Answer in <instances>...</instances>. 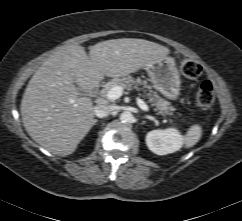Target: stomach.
Instances as JSON below:
<instances>
[{"instance_id": "0dacf381", "label": "stomach", "mask_w": 242, "mask_h": 221, "mask_svg": "<svg viewBox=\"0 0 242 221\" xmlns=\"http://www.w3.org/2000/svg\"><path fill=\"white\" fill-rule=\"evenodd\" d=\"M153 87L170 100H176L181 90V80L175 60L171 57L157 59L146 67Z\"/></svg>"}]
</instances>
